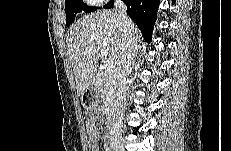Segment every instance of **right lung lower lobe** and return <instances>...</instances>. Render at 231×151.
Listing matches in <instances>:
<instances>
[{
    "instance_id": "obj_1",
    "label": "right lung lower lobe",
    "mask_w": 231,
    "mask_h": 151,
    "mask_svg": "<svg viewBox=\"0 0 231 151\" xmlns=\"http://www.w3.org/2000/svg\"><path fill=\"white\" fill-rule=\"evenodd\" d=\"M127 6V14L137 24L144 39L151 41L152 30L156 21L159 0H123ZM110 1L104 7H113Z\"/></svg>"
}]
</instances>
